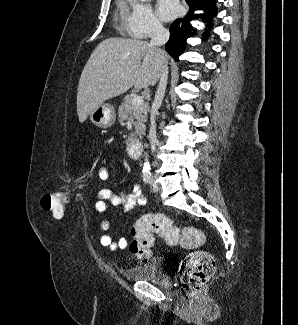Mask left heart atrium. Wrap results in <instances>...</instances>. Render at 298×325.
Wrapping results in <instances>:
<instances>
[{
	"label": "left heart atrium",
	"instance_id": "1",
	"mask_svg": "<svg viewBox=\"0 0 298 325\" xmlns=\"http://www.w3.org/2000/svg\"><path fill=\"white\" fill-rule=\"evenodd\" d=\"M180 13V4L177 0H159L158 16L162 21L173 20Z\"/></svg>",
	"mask_w": 298,
	"mask_h": 325
}]
</instances>
